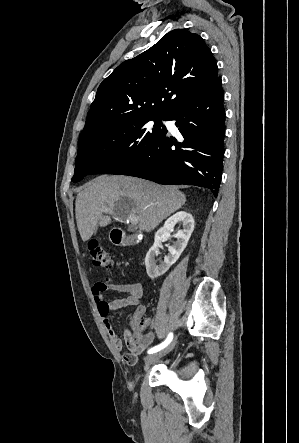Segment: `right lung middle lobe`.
<instances>
[{
    "instance_id": "1",
    "label": "right lung middle lobe",
    "mask_w": 299,
    "mask_h": 443,
    "mask_svg": "<svg viewBox=\"0 0 299 443\" xmlns=\"http://www.w3.org/2000/svg\"><path fill=\"white\" fill-rule=\"evenodd\" d=\"M165 117H142L100 128L81 137L73 182L89 174H113L145 155L166 132ZM153 120V127L149 121Z\"/></svg>"
}]
</instances>
